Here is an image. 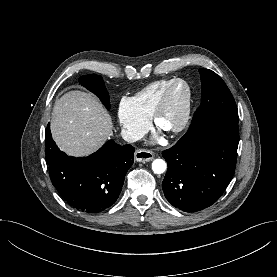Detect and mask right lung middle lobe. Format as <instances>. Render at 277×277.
Segmentation results:
<instances>
[{"label": "right lung middle lobe", "mask_w": 277, "mask_h": 277, "mask_svg": "<svg viewBox=\"0 0 277 277\" xmlns=\"http://www.w3.org/2000/svg\"><path fill=\"white\" fill-rule=\"evenodd\" d=\"M79 83L96 94L107 109H110L109 95L101 76L96 74L84 75L79 78Z\"/></svg>", "instance_id": "1"}]
</instances>
